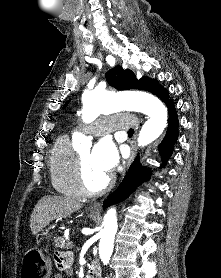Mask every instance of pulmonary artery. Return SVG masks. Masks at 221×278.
Masks as SVG:
<instances>
[{"label": "pulmonary artery", "instance_id": "1", "mask_svg": "<svg viewBox=\"0 0 221 278\" xmlns=\"http://www.w3.org/2000/svg\"><path fill=\"white\" fill-rule=\"evenodd\" d=\"M136 125V119L133 115H114L103 116L99 121L81 125V129L95 136L103 135L111 130L115 129H129Z\"/></svg>", "mask_w": 221, "mask_h": 278}]
</instances>
